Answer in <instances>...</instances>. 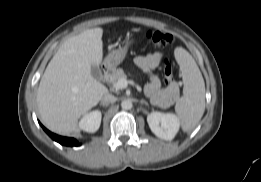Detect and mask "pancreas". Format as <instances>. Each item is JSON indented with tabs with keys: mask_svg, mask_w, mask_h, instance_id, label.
Wrapping results in <instances>:
<instances>
[{
	"mask_svg": "<svg viewBox=\"0 0 261 182\" xmlns=\"http://www.w3.org/2000/svg\"><path fill=\"white\" fill-rule=\"evenodd\" d=\"M121 78H126V74L124 73L123 69L118 68L112 72L109 76V82L115 85L118 80ZM177 99V93L165 89L162 90L157 97L151 98L150 102L153 105H159V106H169L171 105L175 100Z\"/></svg>",
	"mask_w": 261,
	"mask_h": 182,
	"instance_id": "1",
	"label": "pancreas"
}]
</instances>
